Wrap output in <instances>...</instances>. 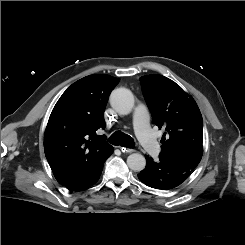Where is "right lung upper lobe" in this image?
I'll return each mask as SVG.
<instances>
[{
    "instance_id": "1",
    "label": "right lung upper lobe",
    "mask_w": 245,
    "mask_h": 245,
    "mask_svg": "<svg viewBox=\"0 0 245 245\" xmlns=\"http://www.w3.org/2000/svg\"><path fill=\"white\" fill-rule=\"evenodd\" d=\"M119 83L109 75H90L72 84L50 115L44 151L56 180L65 185L98 160L113 153L104 135V109L110 92Z\"/></svg>"
}]
</instances>
